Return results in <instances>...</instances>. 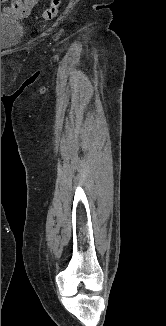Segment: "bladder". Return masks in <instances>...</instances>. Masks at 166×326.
<instances>
[{
  "label": "bladder",
  "instance_id": "1",
  "mask_svg": "<svg viewBox=\"0 0 166 326\" xmlns=\"http://www.w3.org/2000/svg\"><path fill=\"white\" fill-rule=\"evenodd\" d=\"M21 33L20 21L1 11V50H7L17 45Z\"/></svg>",
  "mask_w": 166,
  "mask_h": 326
}]
</instances>
